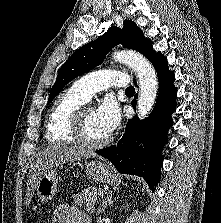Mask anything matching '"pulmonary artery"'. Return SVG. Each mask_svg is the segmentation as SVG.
Wrapping results in <instances>:
<instances>
[{"label": "pulmonary artery", "instance_id": "obj_1", "mask_svg": "<svg viewBox=\"0 0 221 223\" xmlns=\"http://www.w3.org/2000/svg\"><path fill=\"white\" fill-rule=\"evenodd\" d=\"M128 75L117 69H105L89 73L71 85V89L83 99H90L98 91L109 86L127 87Z\"/></svg>", "mask_w": 221, "mask_h": 223}]
</instances>
